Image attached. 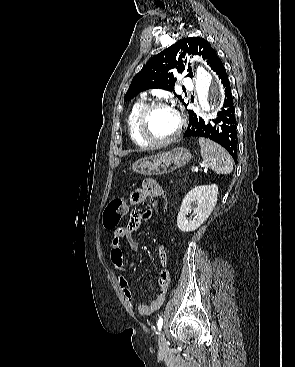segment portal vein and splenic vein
Here are the masks:
<instances>
[{"label":"portal vein and splenic vein","instance_id":"1","mask_svg":"<svg viewBox=\"0 0 295 367\" xmlns=\"http://www.w3.org/2000/svg\"><path fill=\"white\" fill-rule=\"evenodd\" d=\"M191 171H192V172H197V171H198V169H197V168H195V167H192V168H191Z\"/></svg>","mask_w":295,"mask_h":367}]
</instances>
